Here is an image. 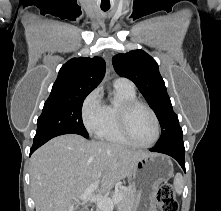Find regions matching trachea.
<instances>
[{"label": "trachea", "instance_id": "trachea-1", "mask_svg": "<svg viewBox=\"0 0 221 211\" xmlns=\"http://www.w3.org/2000/svg\"><path fill=\"white\" fill-rule=\"evenodd\" d=\"M102 10H103L104 12H106V11L109 10V8H102Z\"/></svg>", "mask_w": 221, "mask_h": 211}]
</instances>
